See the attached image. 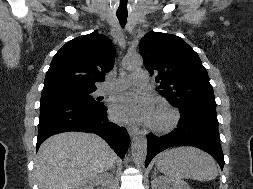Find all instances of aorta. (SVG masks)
<instances>
[{"mask_svg": "<svg viewBox=\"0 0 253 189\" xmlns=\"http://www.w3.org/2000/svg\"><path fill=\"white\" fill-rule=\"evenodd\" d=\"M142 65V59L139 56L131 57L127 60L126 66L130 69L139 68ZM132 157L138 166H143L147 155V138L138 133L132 139L131 144Z\"/></svg>", "mask_w": 253, "mask_h": 189, "instance_id": "762f6f07", "label": "aorta"}]
</instances>
